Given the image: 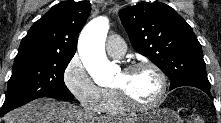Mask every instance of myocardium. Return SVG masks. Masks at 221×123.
Wrapping results in <instances>:
<instances>
[{"instance_id":"f54148a6","label":"myocardium","mask_w":221,"mask_h":123,"mask_svg":"<svg viewBox=\"0 0 221 123\" xmlns=\"http://www.w3.org/2000/svg\"><path fill=\"white\" fill-rule=\"evenodd\" d=\"M151 69L156 73L160 81V92L158 97L149 104H140L135 102L124 88L113 87V91L117 95L122 105L128 111H149L159 107L165 100L168 91V80L164 71L155 63L150 61H142L131 64L123 69L124 74H131L140 69Z\"/></svg>"}]
</instances>
